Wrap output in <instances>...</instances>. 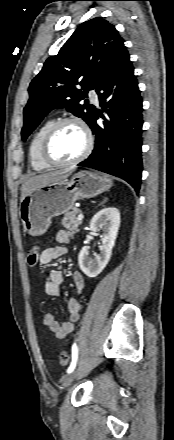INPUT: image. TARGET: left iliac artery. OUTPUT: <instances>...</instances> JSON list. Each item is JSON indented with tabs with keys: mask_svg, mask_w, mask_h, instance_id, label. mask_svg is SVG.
<instances>
[{
	"mask_svg": "<svg viewBox=\"0 0 174 440\" xmlns=\"http://www.w3.org/2000/svg\"><path fill=\"white\" fill-rule=\"evenodd\" d=\"M77 360H78V348L77 345L74 343L72 346V361L67 369V373H71L75 369Z\"/></svg>",
	"mask_w": 174,
	"mask_h": 440,
	"instance_id": "left-iliac-artery-1",
	"label": "left iliac artery"
}]
</instances>
